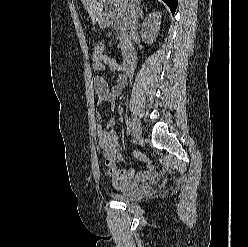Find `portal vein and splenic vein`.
I'll return each instance as SVG.
<instances>
[{
	"mask_svg": "<svg viewBox=\"0 0 248 247\" xmlns=\"http://www.w3.org/2000/svg\"><path fill=\"white\" fill-rule=\"evenodd\" d=\"M101 2H105V1H107V0H100ZM107 3L109 4V2L107 1ZM115 12H117V10L115 9L114 10Z\"/></svg>",
	"mask_w": 248,
	"mask_h": 247,
	"instance_id": "1",
	"label": "portal vein and splenic vein"
}]
</instances>
